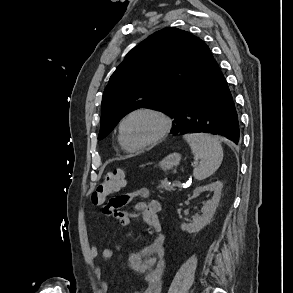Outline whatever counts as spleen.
<instances>
[{
	"instance_id": "3e777b00",
	"label": "spleen",
	"mask_w": 293,
	"mask_h": 293,
	"mask_svg": "<svg viewBox=\"0 0 293 293\" xmlns=\"http://www.w3.org/2000/svg\"><path fill=\"white\" fill-rule=\"evenodd\" d=\"M183 138L194 156L200 159L199 166L193 170L194 178L203 180L211 176L223 160V149L218 139L204 133L185 134Z\"/></svg>"
}]
</instances>
